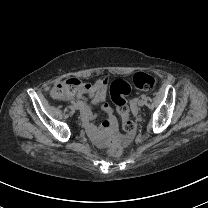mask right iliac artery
Instances as JSON below:
<instances>
[{"label":"right iliac artery","instance_id":"obj_1","mask_svg":"<svg viewBox=\"0 0 208 208\" xmlns=\"http://www.w3.org/2000/svg\"><path fill=\"white\" fill-rule=\"evenodd\" d=\"M71 104L75 105V104H76V102H75L74 100H72V101H71Z\"/></svg>","mask_w":208,"mask_h":208}]
</instances>
